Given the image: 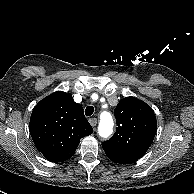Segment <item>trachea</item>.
I'll return each instance as SVG.
<instances>
[{"label":"trachea","mask_w":194,"mask_h":194,"mask_svg":"<svg viewBox=\"0 0 194 194\" xmlns=\"http://www.w3.org/2000/svg\"><path fill=\"white\" fill-rule=\"evenodd\" d=\"M94 113V107L93 106H87L85 109V114L87 116H91Z\"/></svg>","instance_id":"3493384b"}]
</instances>
